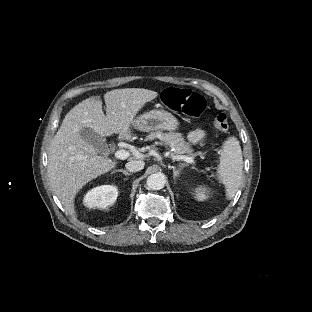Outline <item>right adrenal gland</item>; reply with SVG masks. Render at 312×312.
I'll list each match as a JSON object with an SVG mask.
<instances>
[{
    "label": "right adrenal gland",
    "instance_id": "2a0ac1e0",
    "mask_svg": "<svg viewBox=\"0 0 312 312\" xmlns=\"http://www.w3.org/2000/svg\"><path fill=\"white\" fill-rule=\"evenodd\" d=\"M117 172H122L124 175L126 176H129L131 175V173L127 172L126 170H122V169H119V170H116Z\"/></svg>",
    "mask_w": 312,
    "mask_h": 312
}]
</instances>
